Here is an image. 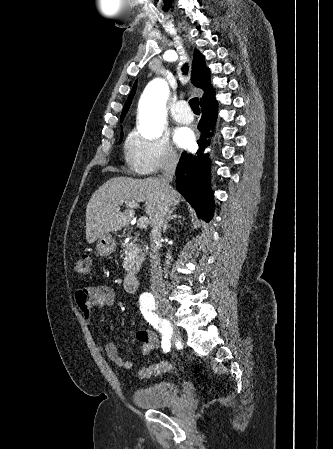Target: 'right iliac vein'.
Returning a JSON list of instances; mask_svg holds the SVG:
<instances>
[{"mask_svg": "<svg viewBox=\"0 0 333 449\" xmlns=\"http://www.w3.org/2000/svg\"><path fill=\"white\" fill-rule=\"evenodd\" d=\"M159 308H160V312L164 316H166L168 319L171 318V316H172V307H171L170 304H168L166 302L160 303ZM171 338H172V341H174V342L177 341V340H180V332L173 325L171 326Z\"/></svg>", "mask_w": 333, "mask_h": 449, "instance_id": "obj_1", "label": "right iliac vein"}]
</instances>
